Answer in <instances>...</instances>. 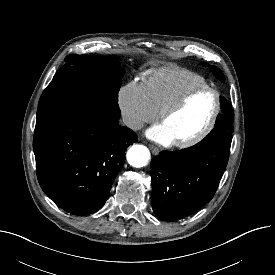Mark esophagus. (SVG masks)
Segmentation results:
<instances>
[{"label":"esophagus","instance_id":"1","mask_svg":"<svg viewBox=\"0 0 275 275\" xmlns=\"http://www.w3.org/2000/svg\"><path fill=\"white\" fill-rule=\"evenodd\" d=\"M149 148L151 149L152 153L154 155H158L159 154V149L153 145H149Z\"/></svg>","mask_w":275,"mask_h":275}]
</instances>
